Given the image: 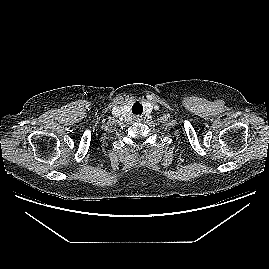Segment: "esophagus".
I'll return each instance as SVG.
<instances>
[{"label":"esophagus","mask_w":269,"mask_h":269,"mask_svg":"<svg viewBox=\"0 0 269 269\" xmlns=\"http://www.w3.org/2000/svg\"><path fill=\"white\" fill-rule=\"evenodd\" d=\"M135 120L136 121H140L141 120V117L137 115V116H135Z\"/></svg>","instance_id":"34e87169"}]
</instances>
